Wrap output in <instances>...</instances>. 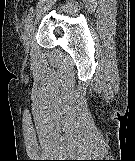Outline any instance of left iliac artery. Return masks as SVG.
<instances>
[{
    "instance_id": "44dca946",
    "label": "left iliac artery",
    "mask_w": 135,
    "mask_h": 161,
    "mask_svg": "<svg viewBox=\"0 0 135 161\" xmlns=\"http://www.w3.org/2000/svg\"><path fill=\"white\" fill-rule=\"evenodd\" d=\"M34 17V9H32L29 14L27 15L26 19H25V27L28 26V23L33 19Z\"/></svg>"
}]
</instances>
